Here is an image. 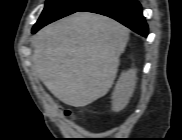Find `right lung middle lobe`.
<instances>
[{
    "instance_id": "obj_1",
    "label": "right lung middle lobe",
    "mask_w": 182,
    "mask_h": 140,
    "mask_svg": "<svg viewBox=\"0 0 182 140\" xmlns=\"http://www.w3.org/2000/svg\"><path fill=\"white\" fill-rule=\"evenodd\" d=\"M92 0H47L45 8L34 25L33 29H41L43 26L70 15Z\"/></svg>"
}]
</instances>
